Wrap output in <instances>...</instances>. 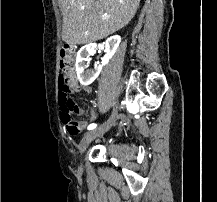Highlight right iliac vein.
<instances>
[{
  "label": "right iliac vein",
  "instance_id": "obj_1",
  "mask_svg": "<svg viewBox=\"0 0 217 202\" xmlns=\"http://www.w3.org/2000/svg\"><path fill=\"white\" fill-rule=\"evenodd\" d=\"M118 118L117 107L113 110L109 119L102 124L98 129L88 132L84 138L82 139L79 145V151L81 155L88 148L89 144L99 136H102L105 132H107L113 125H115L116 120Z\"/></svg>",
  "mask_w": 217,
  "mask_h": 202
}]
</instances>
